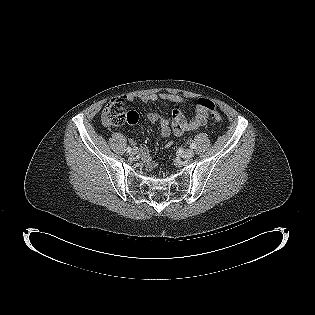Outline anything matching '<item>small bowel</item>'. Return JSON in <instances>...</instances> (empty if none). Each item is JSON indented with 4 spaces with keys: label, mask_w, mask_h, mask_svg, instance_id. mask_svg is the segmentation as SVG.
Masks as SVG:
<instances>
[{
    "label": "small bowel",
    "mask_w": 315,
    "mask_h": 315,
    "mask_svg": "<svg viewBox=\"0 0 315 315\" xmlns=\"http://www.w3.org/2000/svg\"><path fill=\"white\" fill-rule=\"evenodd\" d=\"M122 100L133 101L134 97L124 96ZM139 100L143 103L163 100L175 104L171 120L160 116L159 113L154 111L147 113L148 120L152 123L158 124L162 137H169L171 134L174 136H181L184 132L192 131L205 125L208 119V110L200 105H197L194 115L191 118H187L180 109V105L184 102V99L177 94L166 92L151 93L140 96ZM169 146L170 143L165 145L166 148ZM142 160L148 170H152L156 164L146 151L142 152Z\"/></svg>",
    "instance_id": "1"
}]
</instances>
